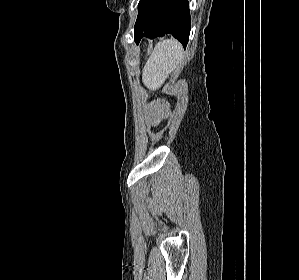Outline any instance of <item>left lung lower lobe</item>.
<instances>
[{"label":"left lung lower lobe","mask_w":299,"mask_h":280,"mask_svg":"<svg viewBox=\"0 0 299 280\" xmlns=\"http://www.w3.org/2000/svg\"><path fill=\"white\" fill-rule=\"evenodd\" d=\"M171 33L185 47L190 33L188 0H140L134 27L135 42Z\"/></svg>","instance_id":"obj_1"}]
</instances>
